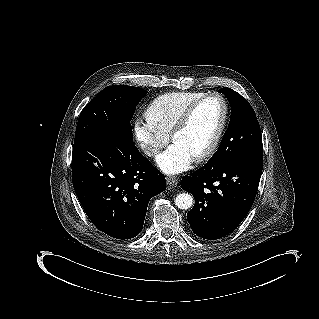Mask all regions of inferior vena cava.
Here are the masks:
<instances>
[{"instance_id": "602c4592", "label": "inferior vena cava", "mask_w": 319, "mask_h": 319, "mask_svg": "<svg viewBox=\"0 0 319 319\" xmlns=\"http://www.w3.org/2000/svg\"><path fill=\"white\" fill-rule=\"evenodd\" d=\"M142 150L148 156H153L159 152V148L151 144H143Z\"/></svg>"}]
</instances>
